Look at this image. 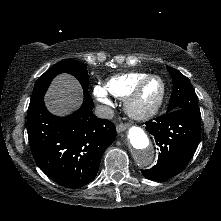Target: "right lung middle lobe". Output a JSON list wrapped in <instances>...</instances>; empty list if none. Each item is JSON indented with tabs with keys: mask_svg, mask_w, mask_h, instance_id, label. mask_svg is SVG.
Wrapping results in <instances>:
<instances>
[{
	"mask_svg": "<svg viewBox=\"0 0 221 221\" xmlns=\"http://www.w3.org/2000/svg\"><path fill=\"white\" fill-rule=\"evenodd\" d=\"M63 72L74 75L79 80L83 90L88 92L89 79L86 65L74 59H64L50 67L38 78L32 92L28 111H31L43 99L52 79Z\"/></svg>",
	"mask_w": 221,
	"mask_h": 221,
	"instance_id": "right-lung-middle-lobe-1",
	"label": "right lung middle lobe"
}]
</instances>
